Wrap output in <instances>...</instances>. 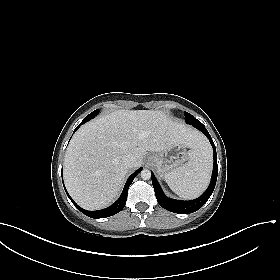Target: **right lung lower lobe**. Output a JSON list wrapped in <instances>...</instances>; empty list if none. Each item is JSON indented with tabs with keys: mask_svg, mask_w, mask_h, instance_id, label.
<instances>
[{
	"mask_svg": "<svg viewBox=\"0 0 280 280\" xmlns=\"http://www.w3.org/2000/svg\"><path fill=\"white\" fill-rule=\"evenodd\" d=\"M90 119L86 116L84 118V120L80 123V125L84 124L85 122L89 121ZM79 125V126H80ZM79 126L74 130V132L79 128ZM142 170V168L138 169L135 173H133L127 180L124 189L122 191L121 196L119 197V199L111 206L102 209V210H98V211H87L84 210L82 208H80L74 201L73 199L69 196V194L66 191L67 196L69 197V199L72 201V203L85 215L91 217V218H105V217H109L112 216L118 212H120L125 204H126V200H127V193H128V188L131 185L133 179L137 176V174Z\"/></svg>",
	"mask_w": 280,
	"mask_h": 280,
	"instance_id": "obj_1",
	"label": "right lung lower lobe"
}]
</instances>
